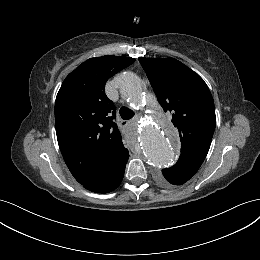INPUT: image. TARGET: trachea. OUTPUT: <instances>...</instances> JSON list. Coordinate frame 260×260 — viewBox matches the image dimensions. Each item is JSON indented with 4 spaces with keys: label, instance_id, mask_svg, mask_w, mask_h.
I'll use <instances>...</instances> for the list:
<instances>
[{
    "label": "trachea",
    "instance_id": "obj_1",
    "mask_svg": "<svg viewBox=\"0 0 260 260\" xmlns=\"http://www.w3.org/2000/svg\"><path fill=\"white\" fill-rule=\"evenodd\" d=\"M119 113L124 120L131 119L135 115V113L127 107H121Z\"/></svg>",
    "mask_w": 260,
    "mask_h": 260
}]
</instances>
